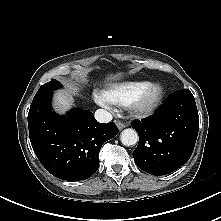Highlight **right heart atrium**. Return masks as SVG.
<instances>
[{
    "instance_id": "obj_1",
    "label": "right heart atrium",
    "mask_w": 221,
    "mask_h": 221,
    "mask_svg": "<svg viewBox=\"0 0 221 221\" xmlns=\"http://www.w3.org/2000/svg\"><path fill=\"white\" fill-rule=\"evenodd\" d=\"M94 99L99 105L107 107V108L109 107L110 102L103 96V94L99 92H95Z\"/></svg>"
}]
</instances>
